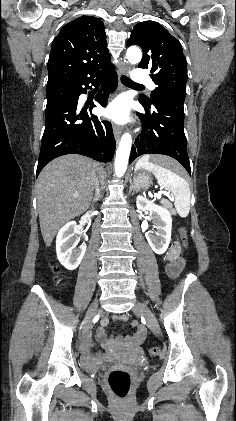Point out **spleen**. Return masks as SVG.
<instances>
[{
    "mask_svg": "<svg viewBox=\"0 0 236 421\" xmlns=\"http://www.w3.org/2000/svg\"><path fill=\"white\" fill-rule=\"evenodd\" d=\"M150 154H144L135 164V170L139 168H145L154 174L157 178L158 184L161 188L169 190L171 194H174V204L179 217H188L190 211V186L180 174L173 172L171 168H168V164H162V162H155L150 160Z\"/></svg>",
    "mask_w": 236,
    "mask_h": 421,
    "instance_id": "obj_1",
    "label": "spleen"
}]
</instances>
